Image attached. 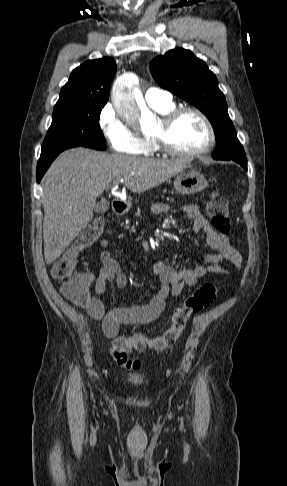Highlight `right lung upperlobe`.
<instances>
[{"mask_svg": "<svg viewBox=\"0 0 287 486\" xmlns=\"http://www.w3.org/2000/svg\"><path fill=\"white\" fill-rule=\"evenodd\" d=\"M116 73L111 58L89 60L74 69L69 81L62 87L55 106L82 103H107L109 89Z\"/></svg>", "mask_w": 287, "mask_h": 486, "instance_id": "right-lung-upper-lobe-1", "label": "right lung upper lobe"}]
</instances>
